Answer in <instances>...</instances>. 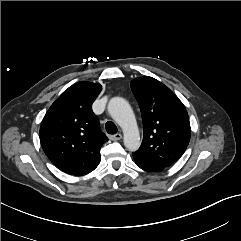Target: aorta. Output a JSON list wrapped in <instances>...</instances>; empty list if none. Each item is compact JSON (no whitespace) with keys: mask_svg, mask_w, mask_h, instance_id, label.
Segmentation results:
<instances>
[{"mask_svg":"<svg viewBox=\"0 0 241 241\" xmlns=\"http://www.w3.org/2000/svg\"><path fill=\"white\" fill-rule=\"evenodd\" d=\"M108 112L123 130L125 147L131 151L137 150L140 134L130 104L124 98L114 97L108 103Z\"/></svg>","mask_w":241,"mask_h":241,"instance_id":"obj_1","label":"aorta"}]
</instances>
